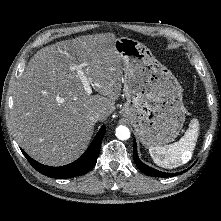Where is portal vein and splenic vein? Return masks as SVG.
Instances as JSON below:
<instances>
[{
    "instance_id": "1",
    "label": "portal vein and splenic vein",
    "mask_w": 221,
    "mask_h": 221,
    "mask_svg": "<svg viewBox=\"0 0 221 221\" xmlns=\"http://www.w3.org/2000/svg\"><path fill=\"white\" fill-rule=\"evenodd\" d=\"M74 70L77 71L78 77L81 80L83 87L85 89V92L90 95L92 93V88L90 86V82L87 78V76L84 74L83 70H82V65H75L73 67ZM57 102L62 103L63 99L61 97H57L56 98Z\"/></svg>"
}]
</instances>
